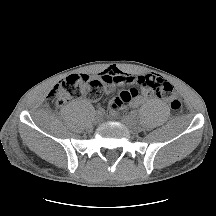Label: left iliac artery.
Instances as JSON below:
<instances>
[{"label":"left iliac artery","mask_w":216,"mask_h":216,"mask_svg":"<svg viewBox=\"0 0 216 216\" xmlns=\"http://www.w3.org/2000/svg\"><path fill=\"white\" fill-rule=\"evenodd\" d=\"M131 115L135 117L137 115V113L136 112H131Z\"/></svg>","instance_id":"44dca946"}]
</instances>
